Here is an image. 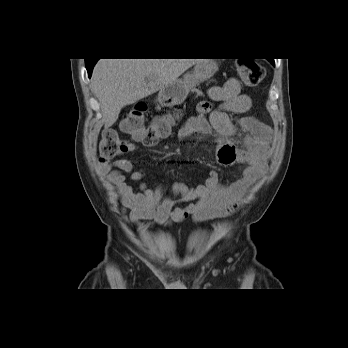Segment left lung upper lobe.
I'll list each match as a JSON object with an SVG mask.
<instances>
[{
  "instance_id": "left-lung-upper-lobe-1",
  "label": "left lung upper lobe",
  "mask_w": 348,
  "mask_h": 348,
  "mask_svg": "<svg viewBox=\"0 0 348 348\" xmlns=\"http://www.w3.org/2000/svg\"><path fill=\"white\" fill-rule=\"evenodd\" d=\"M270 61L274 63V60H270Z\"/></svg>"
}]
</instances>
